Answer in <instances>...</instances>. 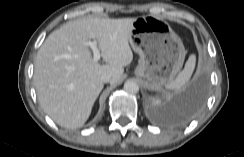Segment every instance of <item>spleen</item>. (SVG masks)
<instances>
[{
    "label": "spleen",
    "mask_w": 244,
    "mask_h": 157,
    "mask_svg": "<svg viewBox=\"0 0 244 157\" xmlns=\"http://www.w3.org/2000/svg\"><path fill=\"white\" fill-rule=\"evenodd\" d=\"M196 57L194 54L190 55L184 69L168 84L165 85L168 90H179L190 79L195 68Z\"/></svg>",
    "instance_id": "1"
}]
</instances>
